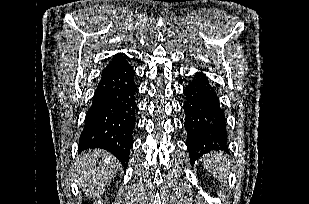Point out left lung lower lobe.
I'll list each match as a JSON object with an SVG mask.
<instances>
[{"instance_id":"1","label":"left lung lower lobe","mask_w":309,"mask_h":204,"mask_svg":"<svg viewBox=\"0 0 309 204\" xmlns=\"http://www.w3.org/2000/svg\"><path fill=\"white\" fill-rule=\"evenodd\" d=\"M183 93L184 127L191 163L212 150L227 152L225 115L205 74L196 73Z\"/></svg>"}]
</instances>
